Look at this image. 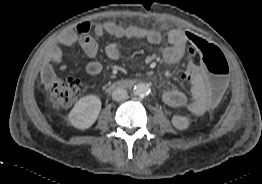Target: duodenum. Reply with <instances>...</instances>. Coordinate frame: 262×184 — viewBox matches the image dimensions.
<instances>
[{
	"label": "duodenum",
	"instance_id": "410a0bca",
	"mask_svg": "<svg viewBox=\"0 0 262 184\" xmlns=\"http://www.w3.org/2000/svg\"><path fill=\"white\" fill-rule=\"evenodd\" d=\"M136 82L131 80V81H121L119 83H117L116 85H114V87L118 88V87H130L133 86Z\"/></svg>",
	"mask_w": 262,
	"mask_h": 184
}]
</instances>
